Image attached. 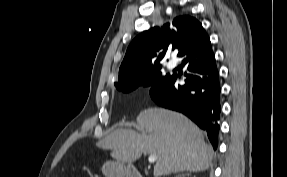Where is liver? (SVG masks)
Wrapping results in <instances>:
<instances>
[{"label": "liver", "mask_w": 287, "mask_h": 177, "mask_svg": "<svg viewBox=\"0 0 287 177\" xmlns=\"http://www.w3.org/2000/svg\"><path fill=\"white\" fill-rule=\"evenodd\" d=\"M138 131L118 128L98 143L111 150V157L131 164L142 154L156 155L154 176L209 168L213 150L203 132L187 117L177 112L149 108L137 117Z\"/></svg>", "instance_id": "6515ba94"}]
</instances>
